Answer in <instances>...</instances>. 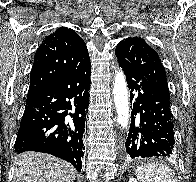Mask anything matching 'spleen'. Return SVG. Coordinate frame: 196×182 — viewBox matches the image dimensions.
<instances>
[{
  "instance_id": "3e777b00",
  "label": "spleen",
  "mask_w": 196,
  "mask_h": 182,
  "mask_svg": "<svg viewBox=\"0 0 196 182\" xmlns=\"http://www.w3.org/2000/svg\"><path fill=\"white\" fill-rule=\"evenodd\" d=\"M136 175L140 182H178L172 169L159 163L138 167Z\"/></svg>"
}]
</instances>
